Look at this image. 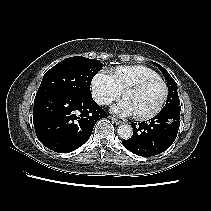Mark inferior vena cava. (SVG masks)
<instances>
[{
  "instance_id": "obj_1",
  "label": "inferior vena cava",
  "mask_w": 211,
  "mask_h": 211,
  "mask_svg": "<svg viewBox=\"0 0 211 211\" xmlns=\"http://www.w3.org/2000/svg\"><path fill=\"white\" fill-rule=\"evenodd\" d=\"M106 103H110V101H106Z\"/></svg>"
}]
</instances>
